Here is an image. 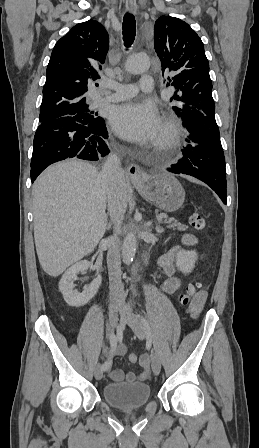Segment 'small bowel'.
Wrapping results in <instances>:
<instances>
[{"instance_id":"obj_1","label":"small bowel","mask_w":259,"mask_h":448,"mask_svg":"<svg viewBox=\"0 0 259 448\" xmlns=\"http://www.w3.org/2000/svg\"><path fill=\"white\" fill-rule=\"evenodd\" d=\"M184 246H194L197 243V239L190 234H186L181 240ZM182 246H175L167 249L159 259V265L161 267L162 275L165 277L162 288L168 293L172 294L177 291L180 287V280L176 276V259L181 251ZM207 299V293L201 291L197 297L193 300L190 305L191 315L196 318L202 311L204 304ZM126 353V348L123 344H116L115 348H109L105 351L106 356L113 357L114 355H124ZM111 361V359L109 360ZM139 364L141 366V371L137 374L129 372L126 375L121 370H112L109 373V377L113 381H122L125 379L128 382L144 381L150 375V358L147 354L140 356Z\"/></svg>"}]
</instances>
